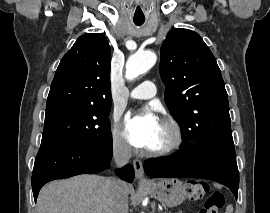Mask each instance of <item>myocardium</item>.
<instances>
[{"instance_id": "myocardium-1", "label": "myocardium", "mask_w": 270, "mask_h": 213, "mask_svg": "<svg viewBox=\"0 0 270 213\" xmlns=\"http://www.w3.org/2000/svg\"><path fill=\"white\" fill-rule=\"evenodd\" d=\"M160 123L165 125L169 130V140L159 148L148 149L147 154L150 156H164L179 149L183 143V132L179 123L170 116H164Z\"/></svg>"}]
</instances>
